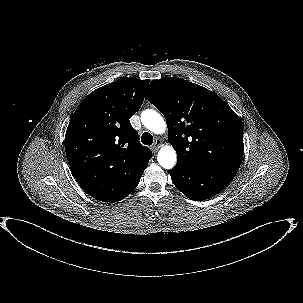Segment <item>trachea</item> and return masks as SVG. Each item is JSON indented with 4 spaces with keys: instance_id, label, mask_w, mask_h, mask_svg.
Instances as JSON below:
<instances>
[{
    "instance_id": "1",
    "label": "trachea",
    "mask_w": 303,
    "mask_h": 303,
    "mask_svg": "<svg viewBox=\"0 0 303 303\" xmlns=\"http://www.w3.org/2000/svg\"><path fill=\"white\" fill-rule=\"evenodd\" d=\"M141 142L144 144V145H152L153 143V136L148 133V132H144L141 136Z\"/></svg>"
}]
</instances>
